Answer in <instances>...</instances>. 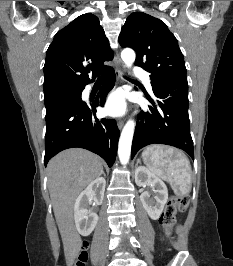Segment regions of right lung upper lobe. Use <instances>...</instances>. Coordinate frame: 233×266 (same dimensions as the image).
I'll use <instances>...</instances> for the list:
<instances>
[{"mask_svg": "<svg viewBox=\"0 0 233 266\" xmlns=\"http://www.w3.org/2000/svg\"><path fill=\"white\" fill-rule=\"evenodd\" d=\"M112 59L109 41L98 18L93 14L77 17L54 36L46 52L44 94L83 89L109 67L103 63Z\"/></svg>", "mask_w": 233, "mask_h": 266, "instance_id": "cb5924a9", "label": "right lung upper lobe"}]
</instances>
